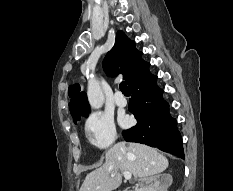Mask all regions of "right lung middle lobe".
<instances>
[{
	"instance_id": "dd1d6c3e",
	"label": "right lung middle lobe",
	"mask_w": 233,
	"mask_h": 191,
	"mask_svg": "<svg viewBox=\"0 0 233 191\" xmlns=\"http://www.w3.org/2000/svg\"><path fill=\"white\" fill-rule=\"evenodd\" d=\"M87 112H88V111H83V112H81V113H78V114L72 116V117H73V120H74V123H76L77 120H80V119H81V115L87 116Z\"/></svg>"
}]
</instances>
